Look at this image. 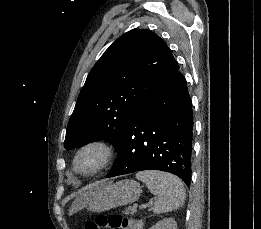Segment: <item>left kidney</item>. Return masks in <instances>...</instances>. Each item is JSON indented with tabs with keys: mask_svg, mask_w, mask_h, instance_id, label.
<instances>
[{
	"mask_svg": "<svg viewBox=\"0 0 261 229\" xmlns=\"http://www.w3.org/2000/svg\"><path fill=\"white\" fill-rule=\"evenodd\" d=\"M151 229H177V223L175 219H163V221H158L156 225H153Z\"/></svg>",
	"mask_w": 261,
	"mask_h": 229,
	"instance_id": "left-kidney-1",
	"label": "left kidney"
}]
</instances>
